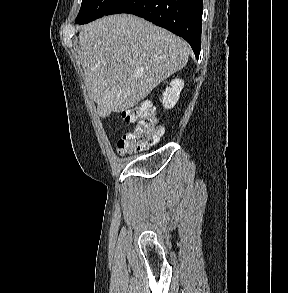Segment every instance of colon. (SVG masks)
Wrapping results in <instances>:
<instances>
[{
    "instance_id": "obj_1",
    "label": "colon",
    "mask_w": 288,
    "mask_h": 293,
    "mask_svg": "<svg viewBox=\"0 0 288 293\" xmlns=\"http://www.w3.org/2000/svg\"><path fill=\"white\" fill-rule=\"evenodd\" d=\"M122 119L133 124L117 142L121 155L132 154L155 145L163 135V128L149 104H139L121 113Z\"/></svg>"
}]
</instances>
